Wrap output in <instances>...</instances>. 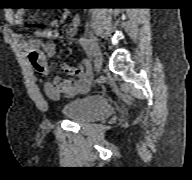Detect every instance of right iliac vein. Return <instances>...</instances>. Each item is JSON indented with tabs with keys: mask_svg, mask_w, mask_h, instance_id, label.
Returning a JSON list of instances; mask_svg holds the SVG:
<instances>
[{
	"mask_svg": "<svg viewBox=\"0 0 192 180\" xmlns=\"http://www.w3.org/2000/svg\"><path fill=\"white\" fill-rule=\"evenodd\" d=\"M90 37V43L92 48V54L94 57V65L96 72H99L102 66V53L98 44L97 39L91 31H88Z\"/></svg>",
	"mask_w": 192,
	"mask_h": 180,
	"instance_id": "obj_1",
	"label": "right iliac vein"
}]
</instances>
